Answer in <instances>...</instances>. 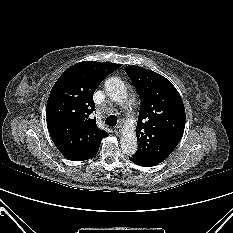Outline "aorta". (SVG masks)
<instances>
[{
	"label": "aorta",
	"instance_id": "762f6f07",
	"mask_svg": "<svg viewBox=\"0 0 233 233\" xmlns=\"http://www.w3.org/2000/svg\"><path fill=\"white\" fill-rule=\"evenodd\" d=\"M107 95L116 102L122 103L127 98V89L122 80L116 77L108 78L104 84ZM121 149L124 154L132 155L137 150V138L134 127L131 126L121 137Z\"/></svg>",
	"mask_w": 233,
	"mask_h": 233
}]
</instances>
